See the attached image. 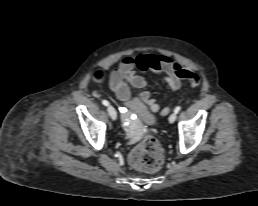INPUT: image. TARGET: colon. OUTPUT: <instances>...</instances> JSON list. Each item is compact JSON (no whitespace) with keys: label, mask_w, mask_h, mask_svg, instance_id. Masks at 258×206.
Instances as JSON below:
<instances>
[{"label":"colon","mask_w":258,"mask_h":206,"mask_svg":"<svg viewBox=\"0 0 258 206\" xmlns=\"http://www.w3.org/2000/svg\"><path fill=\"white\" fill-rule=\"evenodd\" d=\"M195 85V81L191 82ZM164 154L160 143L153 136L144 137L131 151L130 164L141 171L154 172L163 164Z\"/></svg>","instance_id":"5ec220e1"}]
</instances>
